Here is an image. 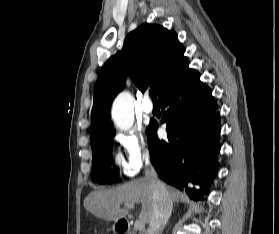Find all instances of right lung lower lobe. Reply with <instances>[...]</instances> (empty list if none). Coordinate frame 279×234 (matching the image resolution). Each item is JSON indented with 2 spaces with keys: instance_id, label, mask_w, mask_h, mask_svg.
Listing matches in <instances>:
<instances>
[{
  "instance_id": "obj_1",
  "label": "right lung lower lobe",
  "mask_w": 279,
  "mask_h": 234,
  "mask_svg": "<svg viewBox=\"0 0 279 234\" xmlns=\"http://www.w3.org/2000/svg\"><path fill=\"white\" fill-rule=\"evenodd\" d=\"M200 74L188 68L160 97L161 122L167 123L168 140L157 137L158 124L148 130L151 161L167 183L202 199L217 172L220 151V117L211 89L200 81ZM200 185L188 188L187 183Z\"/></svg>"
}]
</instances>
